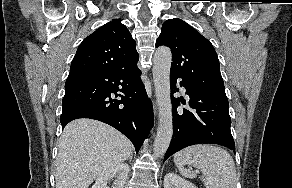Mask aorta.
Listing matches in <instances>:
<instances>
[{
	"mask_svg": "<svg viewBox=\"0 0 292 188\" xmlns=\"http://www.w3.org/2000/svg\"><path fill=\"white\" fill-rule=\"evenodd\" d=\"M172 54L168 47L161 46L153 58V82L159 111V124L154 140L153 153L162 157L171 142L173 135V115L170 98V68Z\"/></svg>",
	"mask_w": 292,
	"mask_h": 188,
	"instance_id": "762f6f07",
	"label": "aorta"
}]
</instances>
